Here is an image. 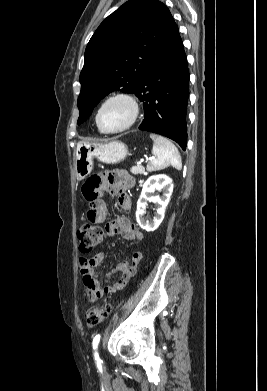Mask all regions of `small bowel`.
<instances>
[{
    "mask_svg": "<svg viewBox=\"0 0 267 391\" xmlns=\"http://www.w3.org/2000/svg\"><path fill=\"white\" fill-rule=\"evenodd\" d=\"M134 185V179L123 170H115L105 174L90 177L83 185L82 192L88 203L86 218L89 223H103L108 215L105 195L111 194L117 197L119 206L125 210L132 209V200L127 191ZM108 236L121 235L128 241L143 239V233L139 231L126 217H117L106 224ZM104 253L99 252L90 258H80L79 267L83 286L91 300L104 294L115 293L123 289L131 277L135 274L138 264L143 258L141 252L133 254L131 262H119L106 277V286L103 288L94 268L104 259ZM114 274H120L117 280H112Z\"/></svg>",
    "mask_w": 267,
    "mask_h": 391,
    "instance_id": "obj_1",
    "label": "small bowel"
}]
</instances>
